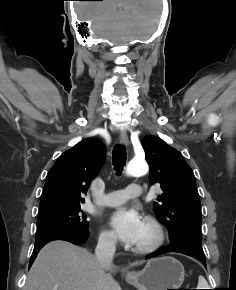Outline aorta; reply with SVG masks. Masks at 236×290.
<instances>
[{
	"label": "aorta",
	"mask_w": 236,
	"mask_h": 290,
	"mask_svg": "<svg viewBox=\"0 0 236 290\" xmlns=\"http://www.w3.org/2000/svg\"><path fill=\"white\" fill-rule=\"evenodd\" d=\"M148 172V165L144 160H131L126 168V175L139 177Z\"/></svg>",
	"instance_id": "aorta-1"
}]
</instances>
